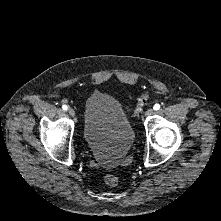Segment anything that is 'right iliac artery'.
<instances>
[{
	"label": "right iliac artery",
	"mask_w": 221,
	"mask_h": 221,
	"mask_svg": "<svg viewBox=\"0 0 221 221\" xmlns=\"http://www.w3.org/2000/svg\"><path fill=\"white\" fill-rule=\"evenodd\" d=\"M62 108H63V110H67L68 109L67 105H63Z\"/></svg>",
	"instance_id": "82829eb1"
}]
</instances>
